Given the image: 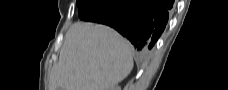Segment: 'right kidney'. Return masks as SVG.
Wrapping results in <instances>:
<instances>
[{"label": "right kidney", "mask_w": 228, "mask_h": 90, "mask_svg": "<svg viewBox=\"0 0 228 90\" xmlns=\"http://www.w3.org/2000/svg\"><path fill=\"white\" fill-rule=\"evenodd\" d=\"M108 90H121L120 86H113L112 88H109Z\"/></svg>", "instance_id": "obj_1"}]
</instances>
